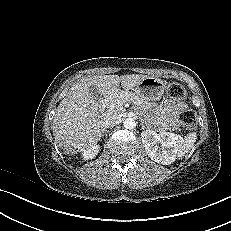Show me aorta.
Masks as SVG:
<instances>
[{"mask_svg": "<svg viewBox=\"0 0 231 231\" xmlns=\"http://www.w3.org/2000/svg\"><path fill=\"white\" fill-rule=\"evenodd\" d=\"M123 125L126 129H133L136 126V122L132 118H126L123 122Z\"/></svg>", "mask_w": 231, "mask_h": 231, "instance_id": "obj_1", "label": "aorta"}]
</instances>
